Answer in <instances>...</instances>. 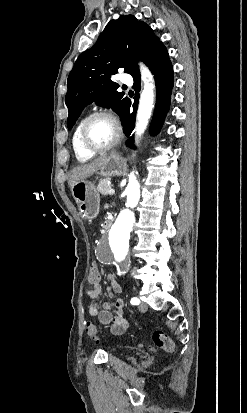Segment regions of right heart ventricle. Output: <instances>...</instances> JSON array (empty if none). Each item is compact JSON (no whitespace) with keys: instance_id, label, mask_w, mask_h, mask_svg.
Wrapping results in <instances>:
<instances>
[{"instance_id":"obj_1","label":"right heart ventricle","mask_w":247,"mask_h":413,"mask_svg":"<svg viewBox=\"0 0 247 413\" xmlns=\"http://www.w3.org/2000/svg\"><path fill=\"white\" fill-rule=\"evenodd\" d=\"M82 124L83 122H81V124L76 128L73 134L72 144H73V148H74V152H75L77 160L79 162H87L91 160L92 158H94L96 156V153L86 152L80 145L79 131H80Z\"/></svg>"}]
</instances>
